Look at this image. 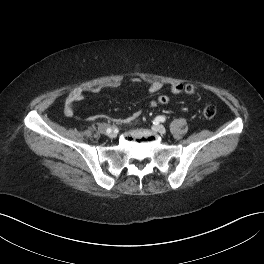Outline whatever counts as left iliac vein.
Instances as JSON below:
<instances>
[{
    "label": "left iliac vein",
    "mask_w": 264,
    "mask_h": 264,
    "mask_svg": "<svg viewBox=\"0 0 264 264\" xmlns=\"http://www.w3.org/2000/svg\"><path fill=\"white\" fill-rule=\"evenodd\" d=\"M153 129H154L156 132L161 133V134H164V133L166 132L165 127H164L163 125H160V124L155 125V126L153 127Z\"/></svg>",
    "instance_id": "4c4485c4"
}]
</instances>
